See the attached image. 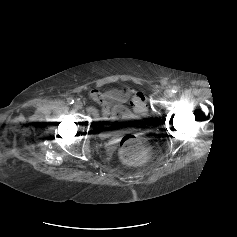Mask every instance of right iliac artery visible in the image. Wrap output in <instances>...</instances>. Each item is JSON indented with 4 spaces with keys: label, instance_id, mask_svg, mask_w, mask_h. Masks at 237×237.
I'll use <instances>...</instances> for the list:
<instances>
[{
    "label": "right iliac artery",
    "instance_id": "right-iliac-artery-1",
    "mask_svg": "<svg viewBox=\"0 0 237 237\" xmlns=\"http://www.w3.org/2000/svg\"><path fill=\"white\" fill-rule=\"evenodd\" d=\"M67 102H68L69 104H73V103H74V99L70 97V98L67 99Z\"/></svg>",
    "mask_w": 237,
    "mask_h": 237
}]
</instances>
